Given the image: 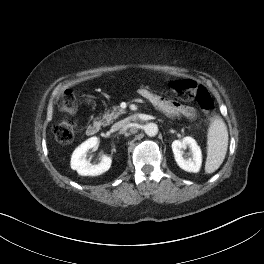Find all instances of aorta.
Listing matches in <instances>:
<instances>
[{
  "label": "aorta",
  "instance_id": "762f6f07",
  "mask_svg": "<svg viewBox=\"0 0 264 264\" xmlns=\"http://www.w3.org/2000/svg\"><path fill=\"white\" fill-rule=\"evenodd\" d=\"M145 133L148 136H155L158 133V126L155 123H148L147 125H145Z\"/></svg>",
  "mask_w": 264,
  "mask_h": 264
}]
</instances>
